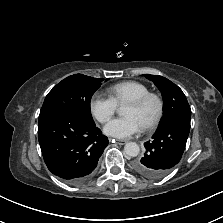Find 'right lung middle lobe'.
Here are the masks:
<instances>
[{
  "label": "right lung middle lobe",
  "instance_id": "1",
  "mask_svg": "<svg viewBox=\"0 0 223 223\" xmlns=\"http://www.w3.org/2000/svg\"><path fill=\"white\" fill-rule=\"evenodd\" d=\"M103 80L82 74L65 78L46 96L39 121L57 113H74L87 121L94 122L90 111V101Z\"/></svg>",
  "mask_w": 223,
  "mask_h": 223
}]
</instances>
